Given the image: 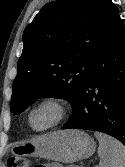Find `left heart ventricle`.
I'll list each match as a JSON object with an SVG mask.
<instances>
[{
    "instance_id": "left-heart-ventricle-1",
    "label": "left heart ventricle",
    "mask_w": 125,
    "mask_h": 167,
    "mask_svg": "<svg viewBox=\"0 0 125 167\" xmlns=\"http://www.w3.org/2000/svg\"><path fill=\"white\" fill-rule=\"evenodd\" d=\"M52 117V112L49 109L38 111L33 117V124L37 127L46 125Z\"/></svg>"
}]
</instances>
